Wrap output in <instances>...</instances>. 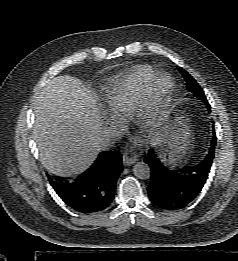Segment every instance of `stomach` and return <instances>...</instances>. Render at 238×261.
<instances>
[{"label":"stomach","instance_id":"0dacf381","mask_svg":"<svg viewBox=\"0 0 238 261\" xmlns=\"http://www.w3.org/2000/svg\"><path fill=\"white\" fill-rule=\"evenodd\" d=\"M152 137L163 159L175 165L186 155L190 129L182 115L169 110L158 119L152 130Z\"/></svg>","mask_w":238,"mask_h":261}]
</instances>
